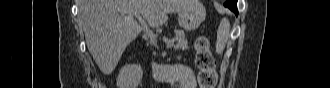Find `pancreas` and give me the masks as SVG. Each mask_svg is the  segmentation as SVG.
Returning a JSON list of instances; mask_svg holds the SVG:
<instances>
[{
	"mask_svg": "<svg viewBox=\"0 0 330 88\" xmlns=\"http://www.w3.org/2000/svg\"><path fill=\"white\" fill-rule=\"evenodd\" d=\"M175 35H176V40H177V43L176 45L174 46L175 49H182V50H185L188 48V42H187V39L185 37V33L183 30H177L175 32ZM152 44H155V42H152Z\"/></svg>",
	"mask_w": 330,
	"mask_h": 88,
	"instance_id": "pancreas-1",
	"label": "pancreas"
}]
</instances>
